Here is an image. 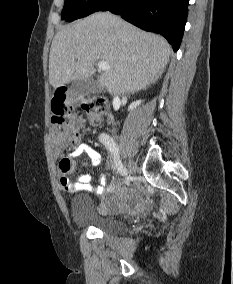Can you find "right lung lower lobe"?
Segmentation results:
<instances>
[{
  "label": "right lung lower lobe",
  "instance_id": "1",
  "mask_svg": "<svg viewBox=\"0 0 233 284\" xmlns=\"http://www.w3.org/2000/svg\"><path fill=\"white\" fill-rule=\"evenodd\" d=\"M189 0H107L96 11H110L137 27L160 33L174 51L180 47Z\"/></svg>",
  "mask_w": 233,
  "mask_h": 284
}]
</instances>
